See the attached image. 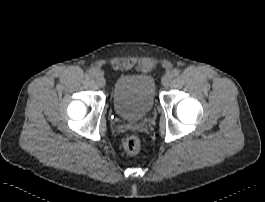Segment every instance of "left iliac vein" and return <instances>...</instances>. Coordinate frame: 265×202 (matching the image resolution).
Here are the masks:
<instances>
[{
  "label": "left iliac vein",
  "mask_w": 265,
  "mask_h": 202,
  "mask_svg": "<svg viewBox=\"0 0 265 202\" xmlns=\"http://www.w3.org/2000/svg\"><path fill=\"white\" fill-rule=\"evenodd\" d=\"M172 79H173V74L172 73H167L162 79L163 86H165V87L170 86V84L172 82Z\"/></svg>",
  "instance_id": "1"
}]
</instances>
